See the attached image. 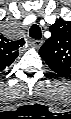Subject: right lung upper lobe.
<instances>
[{
	"instance_id": "right-lung-upper-lobe-1",
	"label": "right lung upper lobe",
	"mask_w": 71,
	"mask_h": 119,
	"mask_svg": "<svg viewBox=\"0 0 71 119\" xmlns=\"http://www.w3.org/2000/svg\"><path fill=\"white\" fill-rule=\"evenodd\" d=\"M24 39L17 41L1 37L0 39V70L10 66L19 55L18 49L24 45Z\"/></svg>"
}]
</instances>
